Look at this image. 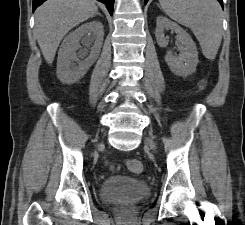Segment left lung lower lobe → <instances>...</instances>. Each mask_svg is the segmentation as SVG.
<instances>
[{"label":"left lung lower lobe","mask_w":245,"mask_h":225,"mask_svg":"<svg viewBox=\"0 0 245 225\" xmlns=\"http://www.w3.org/2000/svg\"><path fill=\"white\" fill-rule=\"evenodd\" d=\"M221 6L223 7V0H218ZM145 4L148 2V0H144Z\"/></svg>","instance_id":"obj_1"}]
</instances>
